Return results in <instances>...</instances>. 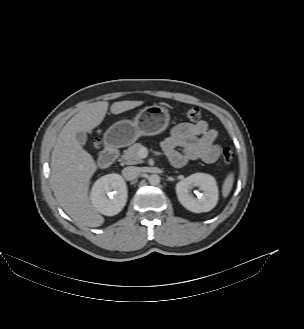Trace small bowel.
Segmentation results:
<instances>
[{"mask_svg":"<svg viewBox=\"0 0 304 329\" xmlns=\"http://www.w3.org/2000/svg\"><path fill=\"white\" fill-rule=\"evenodd\" d=\"M217 136V131L204 120L183 122L172 128L162 147L169 162L177 168L197 159L214 163L221 154V147L215 143Z\"/></svg>","mask_w":304,"mask_h":329,"instance_id":"small-bowel-1","label":"small bowel"}]
</instances>
